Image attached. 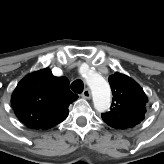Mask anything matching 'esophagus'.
Instances as JSON below:
<instances>
[{
	"instance_id": "esophagus-1",
	"label": "esophagus",
	"mask_w": 164,
	"mask_h": 164,
	"mask_svg": "<svg viewBox=\"0 0 164 164\" xmlns=\"http://www.w3.org/2000/svg\"><path fill=\"white\" fill-rule=\"evenodd\" d=\"M82 97L89 99L91 97V92L88 88L84 89L83 93H82Z\"/></svg>"
}]
</instances>
